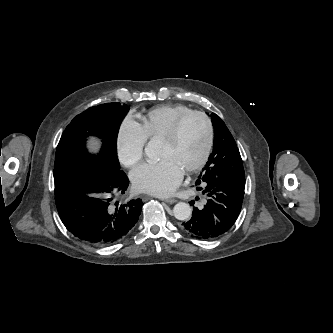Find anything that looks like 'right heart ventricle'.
<instances>
[{
	"label": "right heart ventricle",
	"mask_w": 333,
	"mask_h": 333,
	"mask_svg": "<svg viewBox=\"0 0 333 333\" xmlns=\"http://www.w3.org/2000/svg\"><path fill=\"white\" fill-rule=\"evenodd\" d=\"M190 111L185 105L158 106L141 116V125L148 139H161L180 116Z\"/></svg>",
	"instance_id": "right-heart-ventricle-1"
}]
</instances>
